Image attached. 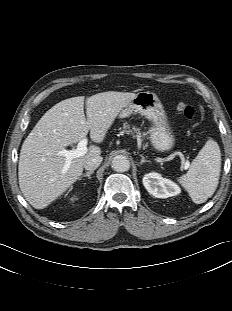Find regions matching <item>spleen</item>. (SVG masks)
Masks as SVG:
<instances>
[{"label": "spleen", "mask_w": 232, "mask_h": 311, "mask_svg": "<svg viewBox=\"0 0 232 311\" xmlns=\"http://www.w3.org/2000/svg\"><path fill=\"white\" fill-rule=\"evenodd\" d=\"M221 152L216 141L209 139L192 161L188 172L178 181L196 204L206 202L219 183Z\"/></svg>", "instance_id": "obj_1"}]
</instances>
